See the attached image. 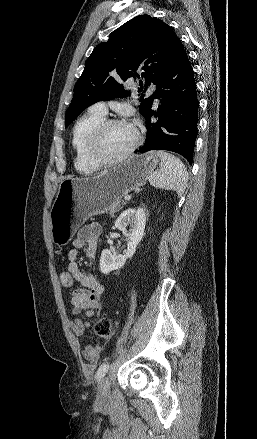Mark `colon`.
I'll return each mask as SVG.
<instances>
[{"label": "colon", "mask_w": 257, "mask_h": 439, "mask_svg": "<svg viewBox=\"0 0 257 439\" xmlns=\"http://www.w3.org/2000/svg\"><path fill=\"white\" fill-rule=\"evenodd\" d=\"M60 280H61V284L64 287H71L74 281L70 273H68V271L61 273ZM94 332L100 338L103 339L110 338L112 334L110 320L106 317H102L98 319L94 325Z\"/></svg>", "instance_id": "colon-1"}]
</instances>
